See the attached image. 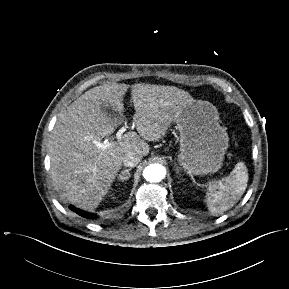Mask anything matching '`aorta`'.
I'll return each instance as SVG.
<instances>
[{
    "label": "aorta",
    "mask_w": 289,
    "mask_h": 289,
    "mask_svg": "<svg viewBox=\"0 0 289 289\" xmlns=\"http://www.w3.org/2000/svg\"><path fill=\"white\" fill-rule=\"evenodd\" d=\"M166 175V169L161 164H150L143 171V177L148 182H160Z\"/></svg>",
    "instance_id": "aorta-1"
}]
</instances>
